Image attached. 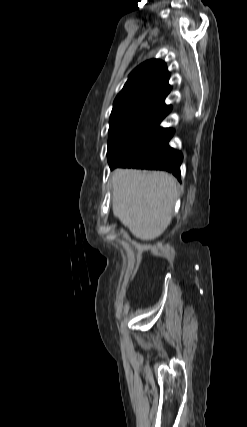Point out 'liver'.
<instances>
[{
    "mask_svg": "<svg viewBox=\"0 0 247 427\" xmlns=\"http://www.w3.org/2000/svg\"><path fill=\"white\" fill-rule=\"evenodd\" d=\"M113 214L133 236L158 238L170 225L178 182L164 171L116 169L112 174Z\"/></svg>",
    "mask_w": 247,
    "mask_h": 427,
    "instance_id": "obj_1",
    "label": "liver"
}]
</instances>
